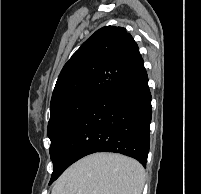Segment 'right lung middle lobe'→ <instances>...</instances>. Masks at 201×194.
<instances>
[{
  "mask_svg": "<svg viewBox=\"0 0 201 194\" xmlns=\"http://www.w3.org/2000/svg\"><path fill=\"white\" fill-rule=\"evenodd\" d=\"M99 95H85L64 101L50 109V120L48 123V137L51 140L50 156L53 159L54 152L59 144V141L64 132L69 127L70 123L75 120L87 107H89ZM51 180L56 175V165ZM51 184V183H49Z\"/></svg>",
  "mask_w": 201,
  "mask_h": 194,
  "instance_id": "obj_1",
  "label": "right lung middle lobe"
}]
</instances>
